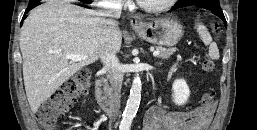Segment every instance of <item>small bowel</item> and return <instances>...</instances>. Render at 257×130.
Returning <instances> with one entry per match:
<instances>
[{
	"instance_id": "obj_1",
	"label": "small bowel",
	"mask_w": 257,
	"mask_h": 130,
	"mask_svg": "<svg viewBox=\"0 0 257 130\" xmlns=\"http://www.w3.org/2000/svg\"><path fill=\"white\" fill-rule=\"evenodd\" d=\"M213 114L214 106L179 112L156 105L146 112L143 130H206Z\"/></svg>"
}]
</instances>
